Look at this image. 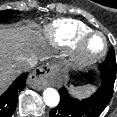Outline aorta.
Here are the masks:
<instances>
[{
    "instance_id": "762f6f07",
    "label": "aorta",
    "mask_w": 117,
    "mask_h": 117,
    "mask_svg": "<svg viewBox=\"0 0 117 117\" xmlns=\"http://www.w3.org/2000/svg\"><path fill=\"white\" fill-rule=\"evenodd\" d=\"M43 99L47 106L56 107L59 104L60 96L56 89L46 88L43 92Z\"/></svg>"
}]
</instances>
